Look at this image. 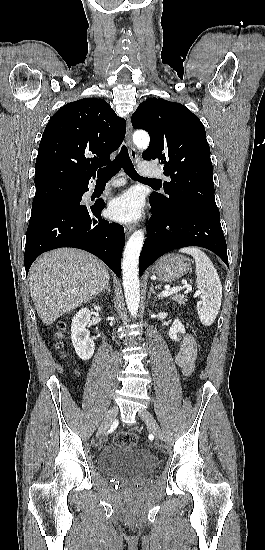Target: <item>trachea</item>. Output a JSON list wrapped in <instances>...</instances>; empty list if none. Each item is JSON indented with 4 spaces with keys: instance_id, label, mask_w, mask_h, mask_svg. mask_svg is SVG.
Wrapping results in <instances>:
<instances>
[{
    "instance_id": "trachea-1",
    "label": "trachea",
    "mask_w": 265,
    "mask_h": 550,
    "mask_svg": "<svg viewBox=\"0 0 265 550\" xmlns=\"http://www.w3.org/2000/svg\"><path fill=\"white\" fill-rule=\"evenodd\" d=\"M121 168H123L125 173L129 175L132 179L151 184H158L159 182L155 179L144 178L136 172L134 165L132 164V161L129 157L128 149L126 146H122L120 153L112 163L98 170L97 178L98 180H110L114 175H116V173L121 170Z\"/></svg>"
}]
</instances>
